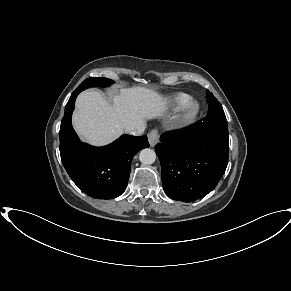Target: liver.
Segmentation results:
<instances>
[{
  "label": "liver",
  "instance_id": "liver-1",
  "mask_svg": "<svg viewBox=\"0 0 291 291\" xmlns=\"http://www.w3.org/2000/svg\"><path fill=\"white\" fill-rule=\"evenodd\" d=\"M73 124L79 135L92 145H106L123 133L136 130L146 119L163 115L167 100L144 87L122 89L110 104L96 91H84L76 100Z\"/></svg>",
  "mask_w": 291,
  "mask_h": 291
}]
</instances>
